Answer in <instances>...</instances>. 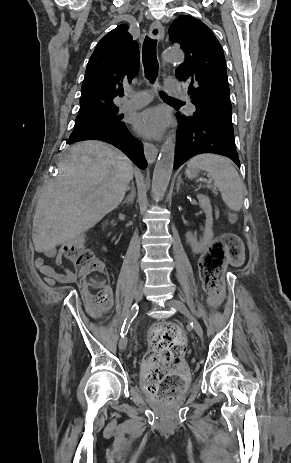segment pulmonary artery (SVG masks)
Listing matches in <instances>:
<instances>
[{"mask_svg": "<svg viewBox=\"0 0 291 463\" xmlns=\"http://www.w3.org/2000/svg\"><path fill=\"white\" fill-rule=\"evenodd\" d=\"M166 91L174 97L188 100L187 93L181 89V85L175 79L168 78L166 80ZM126 96L128 99L121 104V109L134 110L149 103L152 99V92L150 90L137 93L128 92ZM188 103L190 109L194 110L193 103L190 100Z\"/></svg>", "mask_w": 291, "mask_h": 463, "instance_id": "obj_1", "label": "pulmonary artery"}]
</instances>
